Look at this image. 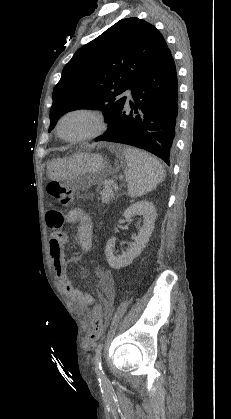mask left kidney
<instances>
[{"label": "left kidney", "mask_w": 231, "mask_h": 419, "mask_svg": "<svg viewBox=\"0 0 231 419\" xmlns=\"http://www.w3.org/2000/svg\"><path fill=\"white\" fill-rule=\"evenodd\" d=\"M136 215L143 217V226L139 229L138 235L132 237L134 241L126 252H123L121 256H116L113 250L115 239L111 238L107 242L106 258L110 267L114 269H119L132 263L133 259L143 251L152 234L157 216L154 205L148 201H140L129 206L123 214L128 221H132Z\"/></svg>", "instance_id": "1"}]
</instances>
